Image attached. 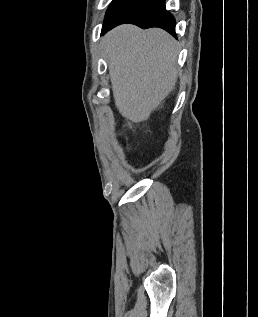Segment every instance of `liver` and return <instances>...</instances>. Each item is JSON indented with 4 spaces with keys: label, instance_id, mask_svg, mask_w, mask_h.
<instances>
[{
    "label": "liver",
    "instance_id": "6515ba94",
    "mask_svg": "<svg viewBox=\"0 0 258 317\" xmlns=\"http://www.w3.org/2000/svg\"><path fill=\"white\" fill-rule=\"evenodd\" d=\"M178 42L162 28L120 24L104 38L115 104L127 120L142 122L177 82Z\"/></svg>",
    "mask_w": 258,
    "mask_h": 317
}]
</instances>
